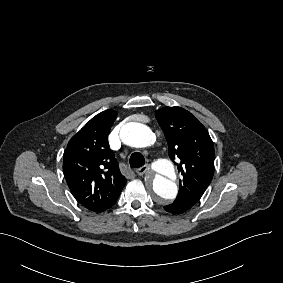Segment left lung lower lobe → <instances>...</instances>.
Segmentation results:
<instances>
[{"label":"left lung lower lobe","instance_id":"obj_1","mask_svg":"<svg viewBox=\"0 0 283 283\" xmlns=\"http://www.w3.org/2000/svg\"><path fill=\"white\" fill-rule=\"evenodd\" d=\"M196 203H197L196 201L191 200V199H179V200L174 201L173 204L165 206L164 209L167 212H170L173 214H180L190 209Z\"/></svg>","mask_w":283,"mask_h":283}]
</instances>
